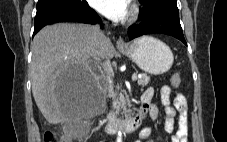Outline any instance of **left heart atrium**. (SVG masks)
I'll use <instances>...</instances> for the list:
<instances>
[{
  "label": "left heart atrium",
  "instance_id": "39dd6f15",
  "mask_svg": "<svg viewBox=\"0 0 227 142\" xmlns=\"http://www.w3.org/2000/svg\"><path fill=\"white\" fill-rule=\"evenodd\" d=\"M91 5L109 19L120 21L126 19L130 0H90Z\"/></svg>",
  "mask_w": 227,
  "mask_h": 142
}]
</instances>
